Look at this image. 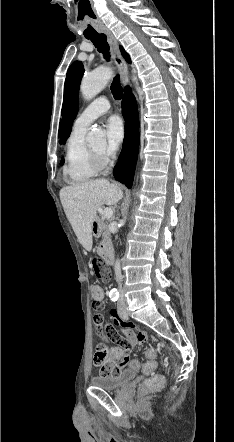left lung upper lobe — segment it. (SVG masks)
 <instances>
[{
    "label": "left lung upper lobe",
    "mask_w": 234,
    "mask_h": 442,
    "mask_svg": "<svg viewBox=\"0 0 234 442\" xmlns=\"http://www.w3.org/2000/svg\"><path fill=\"white\" fill-rule=\"evenodd\" d=\"M121 52L126 61L130 63V57L122 47ZM83 74L84 67L80 61L73 62L67 71L62 107V141H65L69 137L73 121L78 112L79 85Z\"/></svg>",
    "instance_id": "obj_1"
}]
</instances>
